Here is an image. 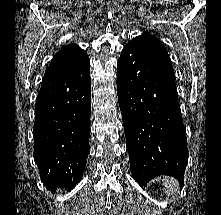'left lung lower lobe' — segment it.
Masks as SVG:
<instances>
[{
    "label": "left lung lower lobe",
    "instance_id": "left-lung-lower-lobe-1",
    "mask_svg": "<svg viewBox=\"0 0 221 215\" xmlns=\"http://www.w3.org/2000/svg\"><path fill=\"white\" fill-rule=\"evenodd\" d=\"M117 95L135 181L169 175L182 185L188 149L174 70L126 44L117 62Z\"/></svg>",
    "mask_w": 221,
    "mask_h": 215
}]
</instances>
